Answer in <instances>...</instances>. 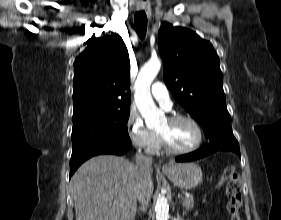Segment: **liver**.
<instances>
[{
    "instance_id": "obj_1",
    "label": "liver",
    "mask_w": 281,
    "mask_h": 220,
    "mask_svg": "<svg viewBox=\"0 0 281 220\" xmlns=\"http://www.w3.org/2000/svg\"><path fill=\"white\" fill-rule=\"evenodd\" d=\"M141 179L152 183V169L145 172L115 155L89 159L70 182L76 220H134Z\"/></svg>"
}]
</instances>
